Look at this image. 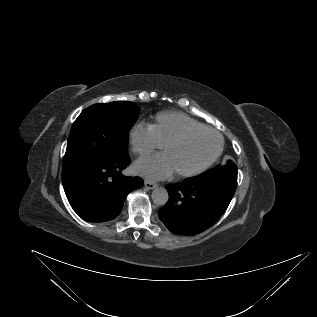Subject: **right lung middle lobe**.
<instances>
[{
  "mask_svg": "<svg viewBox=\"0 0 317 317\" xmlns=\"http://www.w3.org/2000/svg\"><path fill=\"white\" fill-rule=\"evenodd\" d=\"M139 108L132 102L92 105L73 123L63 159V172L128 155V132Z\"/></svg>",
  "mask_w": 317,
  "mask_h": 317,
  "instance_id": "right-lung-middle-lobe-1",
  "label": "right lung middle lobe"
}]
</instances>
